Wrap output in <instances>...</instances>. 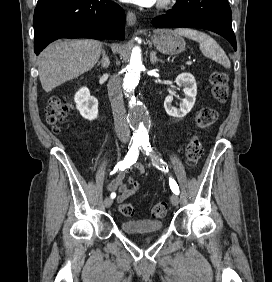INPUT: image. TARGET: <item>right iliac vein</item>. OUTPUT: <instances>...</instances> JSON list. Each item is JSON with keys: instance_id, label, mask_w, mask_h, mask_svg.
<instances>
[{"instance_id": "obj_1", "label": "right iliac vein", "mask_w": 272, "mask_h": 282, "mask_svg": "<svg viewBox=\"0 0 272 282\" xmlns=\"http://www.w3.org/2000/svg\"><path fill=\"white\" fill-rule=\"evenodd\" d=\"M112 203H113V200H112L111 198H106V199L104 200V204H105V207H106V208H110L111 205H112Z\"/></svg>"}]
</instances>
